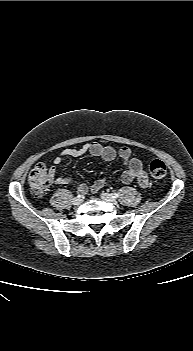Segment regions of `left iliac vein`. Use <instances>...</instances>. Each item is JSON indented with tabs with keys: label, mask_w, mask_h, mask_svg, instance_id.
<instances>
[{
	"label": "left iliac vein",
	"mask_w": 193,
	"mask_h": 351,
	"mask_svg": "<svg viewBox=\"0 0 193 351\" xmlns=\"http://www.w3.org/2000/svg\"><path fill=\"white\" fill-rule=\"evenodd\" d=\"M101 199L108 202V203H111V204H116V199L113 198L110 194L108 193H101L100 195Z\"/></svg>",
	"instance_id": "left-iliac-vein-1"
}]
</instances>
